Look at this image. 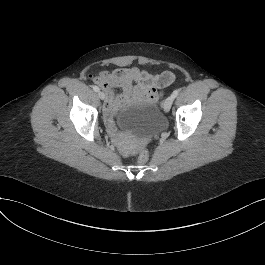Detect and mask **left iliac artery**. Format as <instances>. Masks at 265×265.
Returning a JSON list of instances; mask_svg holds the SVG:
<instances>
[{"instance_id":"left-iliac-artery-1","label":"left iliac artery","mask_w":265,"mask_h":265,"mask_svg":"<svg viewBox=\"0 0 265 265\" xmlns=\"http://www.w3.org/2000/svg\"><path fill=\"white\" fill-rule=\"evenodd\" d=\"M178 94H179V90L176 89V90H174V91L172 92V95H171V96H172L173 98H176Z\"/></svg>"}]
</instances>
